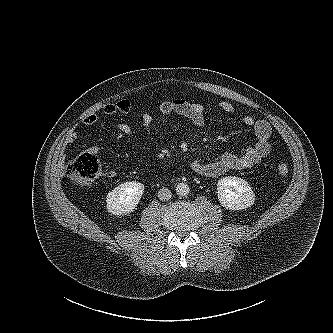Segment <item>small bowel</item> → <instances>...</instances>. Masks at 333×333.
Listing matches in <instances>:
<instances>
[{"instance_id":"1","label":"small bowel","mask_w":333,"mask_h":333,"mask_svg":"<svg viewBox=\"0 0 333 333\" xmlns=\"http://www.w3.org/2000/svg\"><path fill=\"white\" fill-rule=\"evenodd\" d=\"M132 108V104L128 100H119L115 103H109L104 106L103 112L107 115H124ZM218 108L227 113H235V107L228 101L218 103ZM158 111L161 116L168 117L173 114L187 118L194 126H202L205 123V107L201 103L190 102L183 98H175L172 100L161 101L158 105ZM141 126L145 133L149 134L154 118L150 113L142 112L139 115ZM97 121L96 114H90L83 119L85 125H92ZM242 123L245 127L250 128L255 135L256 141L253 145L248 146L239 155L225 153L213 161L195 160L191 164L194 172L206 177H218L231 170H243L253 167L266 158L271 152L270 136L272 128L266 120H256L250 115L242 117ZM116 129L126 135H132L134 129L127 123H119ZM77 139L76 132H70L66 137L67 144H73ZM94 152L97 151L93 147ZM112 177L114 171L107 173Z\"/></svg>"}]
</instances>
